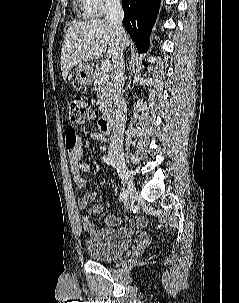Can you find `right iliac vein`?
Wrapping results in <instances>:
<instances>
[{
	"label": "right iliac vein",
	"mask_w": 239,
	"mask_h": 303,
	"mask_svg": "<svg viewBox=\"0 0 239 303\" xmlns=\"http://www.w3.org/2000/svg\"><path fill=\"white\" fill-rule=\"evenodd\" d=\"M113 159L116 163L120 166L121 171H125V183L127 186V205H130L134 202L137 197V192L135 188V184L133 182V178L131 172L129 171L128 167L125 165L124 158L121 155H114Z\"/></svg>",
	"instance_id": "obj_1"
}]
</instances>
